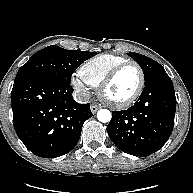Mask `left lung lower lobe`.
<instances>
[{
  "label": "left lung lower lobe",
  "instance_id": "0a47b994",
  "mask_svg": "<svg viewBox=\"0 0 193 193\" xmlns=\"http://www.w3.org/2000/svg\"><path fill=\"white\" fill-rule=\"evenodd\" d=\"M176 110L173 83L161 71L145 83L139 99L127 110L112 111L107 132L123 152L148 156L158 151L169 139Z\"/></svg>",
  "mask_w": 193,
  "mask_h": 193
}]
</instances>
